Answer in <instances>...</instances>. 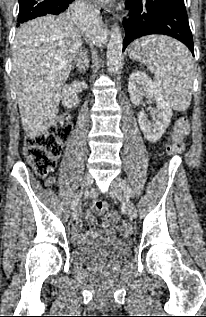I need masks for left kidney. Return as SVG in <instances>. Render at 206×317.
<instances>
[{
  "instance_id": "left-kidney-1",
  "label": "left kidney",
  "mask_w": 206,
  "mask_h": 317,
  "mask_svg": "<svg viewBox=\"0 0 206 317\" xmlns=\"http://www.w3.org/2000/svg\"><path fill=\"white\" fill-rule=\"evenodd\" d=\"M128 91L130 100L135 105L141 103L143 96L156 103L157 107L152 111L156 116L154 123L148 121L143 111L138 113L137 118L146 139L150 142L158 141L171 121V107L161 96L153 81L141 71H135L130 75Z\"/></svg>"
}]
</instances>
